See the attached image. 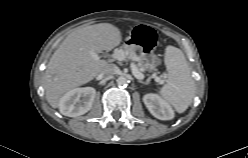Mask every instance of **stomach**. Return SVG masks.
<instances>
[{
	"label": "stomach",
	"instance_id": "obj_1",
	"mask_svg": "<svg viewBox=\"0 0 248 158\" xmlns=\"http://www.w3.org/2000/svg\"><path fill=\"white\" fill-rule=\"evenodd\" d=\"M142 58L144 59L145 62L149 64V66L146 67V70L148 71L155 70L157 64L153 54H143Z\"/></svg>",
	"mask_w": 248,
	"mask_h": 158
}]
</instances>
